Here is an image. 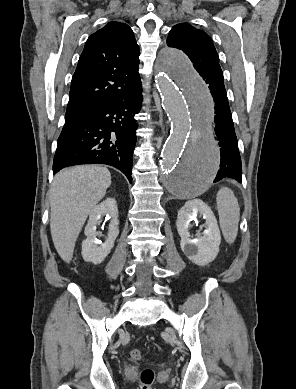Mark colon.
<instances>
[{
  "instance_id": "obj_1",
  "label": "colon",
  "mask_w": 296,
  "mask_h": 389,
  "mask_svg": "<svg viewBox=\"0 0 296 389\" xmlns=\"http://www.w3.org/2000/svg\"><path fill=\"white\" fill-rule=\"evenodd\" d=\"M130 357L133 360H141L142 354L138 349H133L130 351ZM155 379L154 371L150 368H145L140 373V387L141 389H151L152 384Z\"/></svg>"
}]
</instances>
